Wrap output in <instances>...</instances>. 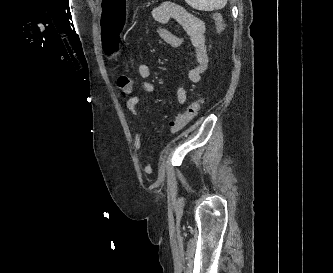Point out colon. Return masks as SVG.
Returning a JSON list of instances; mask_svg holds the SVG:
<instances>
[{
	"mask_svg": "<svg viewBox=\"0 0 333 273\" xmlns=\"http://www.w3.org/2000/svg\"><path fill=\"white\" fill-rule=\"evenodd\" d=\"M212 18L215 22L217 32H221L224 27L221 15L214 13ZM117 85L122 97L128 98L131 96L133 92V81L128 75H119ZM202 104L203 101L201 99L192 101L183 113L178 114L170 121V132L176 133L185 127L197 115Z\"/></svg>",
	"mask_w": 333,
	"mask_h": 273,
	"instance_id": "colon-1",
	"label": "colon"
}]
</instances>
